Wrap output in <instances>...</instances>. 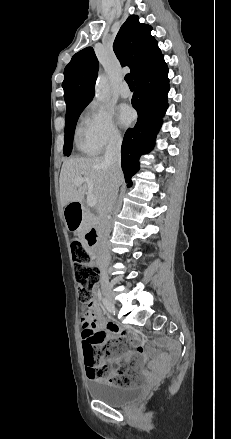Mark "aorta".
<instances>
[{
    "mask_svg": "<svg viewBox=\"0 0 231 439\" xmlns=\"http://www.w3.org/2000/svg\"><path fill=\"white\" fill-rule=\"evenodd\" d=\"M109 95V85L104 75H99L95 85V98L104 101Z\"/></svg>",
    "mask_w": 231,
    "mask_h": 439,
    "instance_id": "762f6f07",
    "label": "aorta"
}]
</instances>
